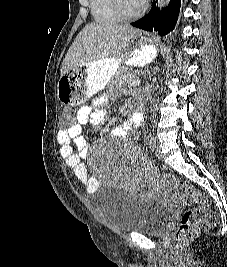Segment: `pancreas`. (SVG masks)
Instances as JSON below:
<instances>
[{"mask_svg": "<svg viewBox=\"0 0 227 267\" xmlns=\"http://www.w3.org/2000/svg\"><path fill=\"white\" fill-rule=\"evenodd\" d=\"M138 78L134 73L127 71L125 68L118 71L114 78L111 80V85L122 86V85H136Z\"/></svg>", "mask_w": 227, "mask_h": 267, "instance_id": "obj_1", "label": "pancreas"}]
</instances>
